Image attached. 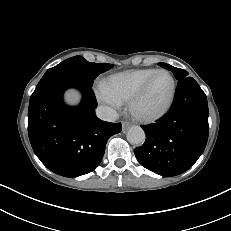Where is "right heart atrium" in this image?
<instances>
[{
  "label": "right heart atrium",
  "instance_id": "obj_1",
  "mask_svg": "<svg viewBox=\"0 0 231 231\" xmlns=\"http://www.w3.org/2000/svg\"><path fill=\"white\" fill-rule=\"evenodd\" d=\"M98 99H99L102 103H104V104H106V105H108V106H110V107H112V108H116V107L119 105V102H118V101H116V100H114L113 98H111V97H109V96L103 94L102 92H99V93H98Z\"/></svg>",
  "mask_w": 231,
  "mask_h": 231
}]
</instances>
